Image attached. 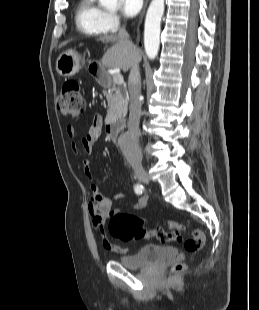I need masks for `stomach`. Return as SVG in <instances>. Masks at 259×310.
I'll return each instance as SVG.
<instances>
[{"label":"stomach","instance_id":"stomach-1","mask_svg":"<svg viewBox=\"0 0 259 310\" xmlns=\"http://www.w3.org/2000/svg\"><path fill=\"white\" fill-rule=\"evenodd\" d=\"M84 64V58L75 50L69 49L60 54L56 61L57 72L65 77L78 73Z\"/></svg>","mask_w":259,"mask_h":310}]
</instances>
